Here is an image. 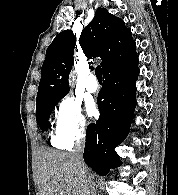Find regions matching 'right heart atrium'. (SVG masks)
<instances>
[{"instance_id": "obj_1", "label": "right heart atrium", "mask_w": 178, "mask_h": 195, "mask_svg": "<svg viewBox=\"0 0 178 195\" xmlns=\"http://www.w3.org/2000/svg\"><path fill=\"white\" fill-rule=\"evenodd\" d=\"M86 128L87 123L80 101L73 96H65L57 106L55 143L60 147L70 146L85 137Z\"/></svg>"}]
</instances>
